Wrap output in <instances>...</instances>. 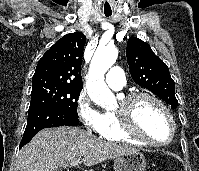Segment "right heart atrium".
Instances as JSON below:
<instances>
[{"label": "right heart atrium", "mask_w": 199, "mask_h": 171, "mask_svg": "<svg viewBox=\"0 0 199 171\" xmlns=\"http://www.w3.org/2000/svg\"><path fill=\"white\" fill-rule=\"evenodd\" d=\"M76 111L82 124L92 132H99L103 124V114L95 107L86 92L79 93Z\"/></svg>", "instance_id": "obj_1"}]
</instances>
